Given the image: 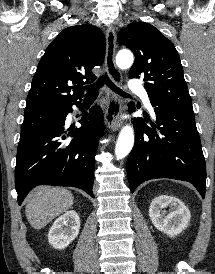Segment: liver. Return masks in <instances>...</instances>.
<instances>
[{"label": "liver", "instance_id": "obj_1", "mask_svg": "<svg viewBox=\"0 0 215 274\" xmlns=\"http://www.w3.org/2000/svg\"><path fill=\"white\" fill-rule=\"evenodd\" d=\"M72 193L59 187H36L27 197L25 213L34 229H42L72 207Z\"/></svg>", "mask_w": 215, "mask_h": 274}]
</instances>
